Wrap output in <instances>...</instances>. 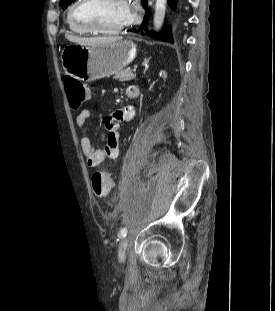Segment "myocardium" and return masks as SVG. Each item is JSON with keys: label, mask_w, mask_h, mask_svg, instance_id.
I'll use <instances>...</instances> for the list:
<instances>
[{"label": "myocardium", "mask_w": 275, "mask_h": 311, "mask_svg": "<svg viewBox=\"0 0 275 311\" xmlns=\"http://www.w3.org/2000/svg\"><path fill=\"white\" fill-rule=\"evenodd\" d=\"M99 1H101V0H77V2L74 3L69 10V16H70L71 22L73 24L85 29L88 32L95 33V34L115 35V34L120 33L121 31H123L128 26L127 23L122 25V26H119L117 28H114V29H104V28L96 26L95 24H93L87 20L81 19L78 16V12L81 8H83L89 4L99 2Z\"/></svg>", "instance_id": "f54148a6"}]
</instances>
